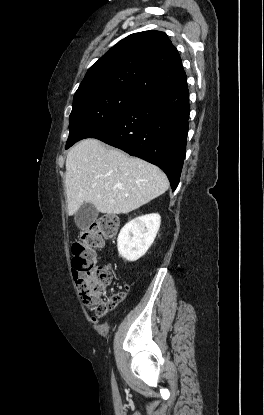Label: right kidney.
I'll list each match as a JSON object with an SVG mask.
<instances>
[{
    "label": "right kidney",
    "instance_id": "obj_1",
    "mask_svg": "<svg viewBox=\"0 0 264 415\" xmlns=\"http://www.w3.org/2000/svg\"><path fill=\"white\" fill-rule=\"evenodd\" d=\"M160 223V215L152 213L137 217L125 224L117 239L119 255L131 262L142 257L152 245Z\"/></svg>",
    "mask_w": 264,
    "mask_h": 415
}]
</instances>
